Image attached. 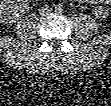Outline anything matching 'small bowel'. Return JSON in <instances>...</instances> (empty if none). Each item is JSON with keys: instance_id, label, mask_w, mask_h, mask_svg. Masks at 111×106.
Returning <instances> with one entry per match:
<instances>
[{"instance_id": "1", "label": "small bowel", "mask_w": 111, "mask_h": 106, "mask_svg": "<svg viewBox=\"0 0 111 106\" xmlns=\"http://www.w3.org/2000/svg\"><path fill=\"white\" fill-rule=\"evenodd\" d=\"M85 2H90V3H94V2H96V1H88V0H86Z\"/></svg>"}]
</instances>
